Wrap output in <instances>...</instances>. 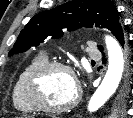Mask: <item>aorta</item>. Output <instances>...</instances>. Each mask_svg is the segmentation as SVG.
<instances>
[{
	"label": "aorta",
	"instance_id": "1",
	"mask_svg": "<svg viewBox=\"0 0 133 118\" xmlns=\"http://www.w3.org/2000/svg\"><path fill=\"white\" fill-rule=\"evenodd\" d=\"M108 50V70L88 103L90 113L100 109L116 92L124 73V55L118 41L112 36H105Z\"/></svg>",
	"mask_w": 133,
	"mask_h": 118
}]
</instances>
